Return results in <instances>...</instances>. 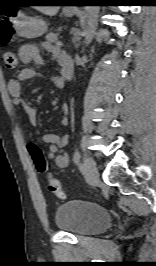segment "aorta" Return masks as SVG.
Returning <instances> with one entry per match:
<instances>
[{
    "mask_svg": "<svg viewBox=\"0 0 156 266\" xmlns=\"http://www.w3.org/2000/svg\"><path fill=\"white\" fill-rule=\"evenodd\" d=\"M85 12H86V25L84 29V35H85L84 43L88 45L91 43L94 33L97 29L100 7L87 6L85 8Z\"/></svg>",
    "mask_w": 156,
    "mask_h": 266,
    "instance_id": "762f6f07",
    "label": "aorta"
}]
</instances>
